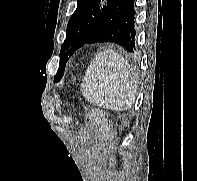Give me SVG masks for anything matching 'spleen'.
I'll list each match as a JSON object with an SVG mask.
<instances>
[{
    "mask_svg": "<svg viewBox=\"0 0 197 181\" xmlns=\"http://www.w3.org/2000/svg\"><path fill=\"white\" fill-rule=\"evenodd\" d=\"M135 73L119 53L99 52L90 63L81 83L83 97L95 106L125 111L135 101Z\"/></svg>",
    "mask_w": 197,
    "mask_h": 181,
    "instance_id": "spleen-1",
    "label": "spleen"
}]
</instances>
